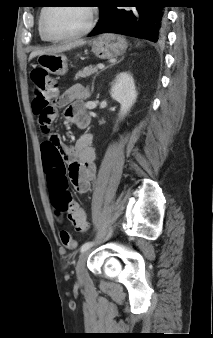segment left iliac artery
<instances>
[{
	"label": "left iliac artery",
	"mask_w": 213,
	"mask_h": 338,
	"mask_svg": "<svg viewBox=\"0 0 213 338\" xmlns=\"http://www.w3.org/2000/svg\"><path fill=\"white\" fill-rule=\"evenodd\" d=\"M111 235V233H109V235L107 236V238H109ZM93 242H86L84 243L81 248H80V252L83 253L85 251H87L88 249H90L93 246Z\"/></svg>",
	"instance_id": "left-iliac-artery-1"
}]
</instances>
